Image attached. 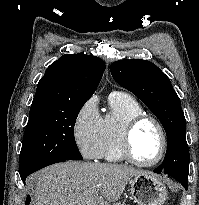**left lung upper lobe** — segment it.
I'll list each match as a JSON object with an SVG mask.
<instances>
[{"instance_id":"obj_1","label":"left lung upper lobe","mask_w":199,"mask_h":205,"mask_svg":"<svg viewBox=\"0 0 199 205\" xmlns=\"http://www.w3.org/2000/svg\"><path fill=\"white\" fill-rule=\"evenodd\" d=\"M114 80L136 95L159 119L167 135V151L162 165L154 171L188 180L189 150L186 121L181 101L169 78L153 63L123 59L110 65Z\"/></svg>"}]
</instances>
